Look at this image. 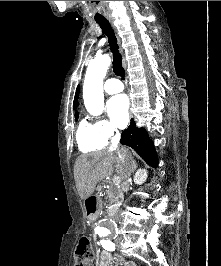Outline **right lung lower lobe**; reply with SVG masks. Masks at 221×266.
Here are the masks:
<instances>
[{
  "instance_id": "1",
  "label": "right lung lower lobe",
  "mask_w": 221,
  "mask_h": 266,
  "mask_svg": "<svg viewBox=\"0 0 221 266\" xmlns=\"http://www.w3.org/2000/svg\"><path fill=\"white\" fill-rule=\"evenodd\" d=\"M120 142L133 148L148 165L155 168L158 166L153 142L144 128L136 127L133 119H131L130 126L122 132Z\"/></svg>"
}]
</instances>
